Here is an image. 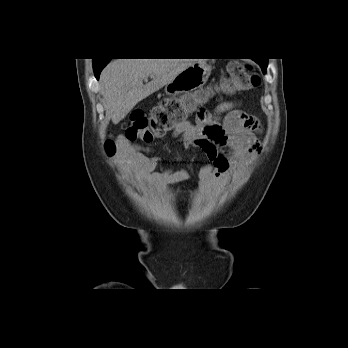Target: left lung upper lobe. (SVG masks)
<instances>
[{
	"label": "left lung upper lobe",
	"instance_id": "obj_1",
	"mask_svg": "<svg viewBox=\"0 0 348 348\" xmlns=\"http://www.w3.org/2000/svg\"><path fill=\"white\" fill-rule=\"evenodd\" d=\"M260 64V66L262 67L263 71H266L267 68V59L261 60L258 62Z\"/></svg>",
	"mask_w": 348,
	"mask_h": 348
}]
</instances>
